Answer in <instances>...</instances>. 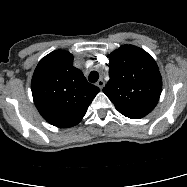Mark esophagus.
Masks as SVG:
<instances>
[{
    "label": "esophagus",
    "mask_w": 187,
    "mask_h": 187,
    "mask_svg": "<svg viewBox=\"0 0 187 187\" xmlns=\"http://www.w3.org/2000/svg\"><path fill=\"white\" fill-rule=\"evenodd\" d=\"M96 85H97L100 89H102V88L105 86V82H104L103 79H99V80L97 81Z\"/></svg>",
    "instance_id": "obj_1"
}]
</instances>
